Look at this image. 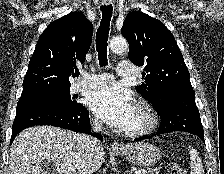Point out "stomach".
<instances>
[{
	"label": "stomach",
	"instance_id": "obj_1",
	"mask_svg": "<svg viewBox=\"0 0 224 174\" xmlns=\"http://www.w3.org/2000/svg\"><path fill=\"white\" fill-rule=\"evenodd\" d=\"M117 153L140 166H153L161 158L160 150L149 143L130 145L127 151H118Z\"/></svg>",
	"mask_w": 224,
	"mask_h": 174
}]
</instances>
